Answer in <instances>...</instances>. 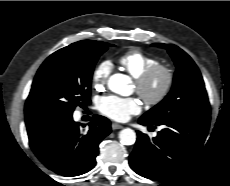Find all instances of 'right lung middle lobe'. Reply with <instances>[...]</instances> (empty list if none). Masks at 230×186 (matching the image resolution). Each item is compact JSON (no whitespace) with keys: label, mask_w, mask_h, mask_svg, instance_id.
<instances>
[{"label":"right lung middle lobe","mask_w":230,"mask_h":186,"mask_svg":"<svg viewBox=\"0 0 230 186\" xmlns=\"http://www.w3.org/2000/svg\"><path fill=\"white\" fill-rule=\"evenodd\" d=\"M108 47L105 42L83 40L50 55L34 78L25 112L72 116L77 105L90 104L94 66Z\"/></svg>","instance_id":"dd1d6c3e"}]
</instances>
